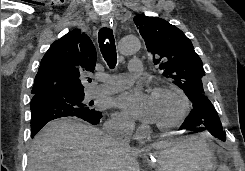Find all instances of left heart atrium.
Segmentation results:
<instances>
[{
  "instance_id": "1",
  "label": "left heart atrium",
  "mask_w": 245,
  "mask_h": 171,
  "mask_svg": "<svg viewBox=\"0 0 245 171\" xmlns=\"http://www.w3.org/2000/svg\"><path fill=\"white\" fill-rule=\"evenodd\" d=\"M114 104L128 117L142 122H155V109L152 95L136 88L118 95Z\"/></svg>"
}]
</instances>
